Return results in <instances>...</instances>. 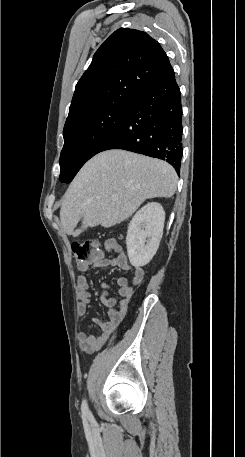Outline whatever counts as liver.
<instances>
[{
  "mask_svg": "<svg viewBox=\"0 0 245 457\" xmlns=\"http://www.w3.org/2000/svg\"><path fill=\"white\" fill-rule=\"evenodd\" d=\"M177 180L165 160L120 148L99 152L80 168L65 192L60 210L63 229L78 237L87 226H113L131 216L146 198L172 196ZM79 220L82 226L75 231Z\"/></svg>",
  "mask_w": 245,
  "mask_h": 457,
  "instance_id": "obj_1",
  "label": "liver"
}]
</instances>
